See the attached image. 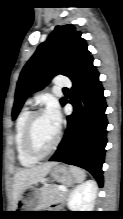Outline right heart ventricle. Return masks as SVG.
Returning <instances> with one entry per match:
<instances>
[{"label":"right heart ventricle","instance_id":"e07e8e85","mask_svg":"<svg viewBox=\"0 0 123 219\" xmlns=\"http://www.w3.org/2000/svg\"><path fill=\"white\" fill-rule=\"evenodd\" d=\"M31 111L25 107L19 114L17 121H16V127H15V149L17 153V158L19 163L24 167H30L35 165L38 162V159H35L31 157L25 149L24 146V132H25V126L26 122L28 120V117L30 115Z\"/></svg>","mask_w":123,"mask_h":219}]
</instances>
